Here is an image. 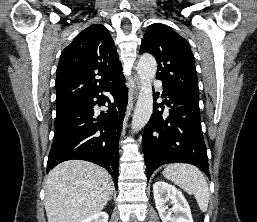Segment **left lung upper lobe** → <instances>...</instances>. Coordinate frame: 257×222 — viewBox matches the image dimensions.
<instances>
[{
  "label": "left lung upper lobe",
  "mask_w": 257,
  "mask_h": 222,
  "mask_svg": "<svg viewBox=\"0 0 257 222\" xmlns=\"http://www.w3.org/2000/svg\"><path fill=\"white\" fill-rule=\"evenodd\" d=\"M144 52L156 58V78L163 85L199 99L194 56L183 37L164 24L154 23L143 36L140 54Z\"/></svg>",
  "instance_id": "obj_1"
}]
</instances>
